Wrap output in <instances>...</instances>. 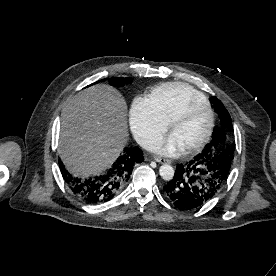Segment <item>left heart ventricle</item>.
Segmentation results:
<instances>
[{"label": "left heart ventricle", "instance_id": "obj_1", "mask_svg": "<svg viewBox=\"0 0 276 276\" xmlns=\"http://www.w3.org/2000/svg\"><path fill=\"white\" fill-rule=\"evenodd\" d=\"M209 112L200 104L182 121L178 122L173 133L183 142L185 148L198 142L205 134L209 124Z\"/></svg>", "mask_w": 276, "mask_h": 276}]
</instances>
